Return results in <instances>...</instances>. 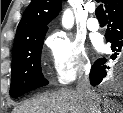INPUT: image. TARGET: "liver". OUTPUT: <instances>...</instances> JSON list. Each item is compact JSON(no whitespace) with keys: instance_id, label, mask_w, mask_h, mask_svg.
I'll use <instances>...</instances> for the list:
<instances>
[{"instance_id":"1","label":"liver","mask_w":123,"mask_h":113,"mask_svg":"<svg viewBox=\"0 0 123 113\" xmlns=\"http://www.w3.org/2000/svg\"><path fill=\"white\" fill-rule=\"evenodd\" d=\"M94 102L104 107H115L112 100L101 99L98 93H94ZM118 108V107H117ZM89 105L77 90L61 89L52 93H46L34 97L18 108L13 113H89Z\"/></svg>"}]
</instances>
